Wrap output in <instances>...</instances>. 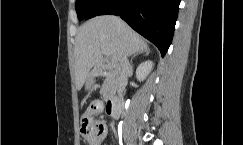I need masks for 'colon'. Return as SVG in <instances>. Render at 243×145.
Masks as SVG:
<instances>
[{
    "label": "colon",
    "instance_id": "obj_1",
    "mask_svg": "<svg viewBox=\"0 0 243 145\" xmlns=\"http://www.w3.org/2000/svg\"><path fill=\"white\" fill-rule=\"evenodd\" d=\"M80 132L82 137L86 140L91 137L95 132V126L88 116H83L81 120Z\"/></svg>",
    "mask_w": 243,
    "mask_h": 145
}]
</instances>
